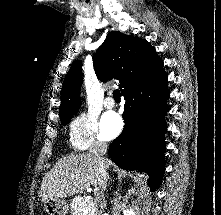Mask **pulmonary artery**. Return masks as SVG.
Masks as SVG:
<instances>
[{"instance_id": "obj_1", "label": "pulmonary artery", "mask_w": 221, "mask_h": 215, "mask_svg": "<svg viewBox=\"0 0 221 215\" xmlns=\"http://www.w3.org/2000/svg\"><path fill=\"white\" fill-rule=\"evenodd\" d=\"M115 106V102L111 97H107L104 101V107L106 109H112Z\"/></svg>"}]
</instances>
